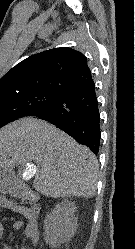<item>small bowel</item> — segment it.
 I'll list each match as a JSON object with an SVG mask.
<instances>
[{
  "label": "small bowel",
  "instance_id": "small-bowel-1",
  "mask_svg": "<svg viewBox=\"0 0 135 249\" xmlns=\"http://www.w3.org/2000/svg\"><path fill=\"white\" fill-rule=\"evenodd\" d=\"M0 209H9L21 214L24 220H18L14 224L16 230H23L25 236L30 239L33 244L38 242V209L35 206H24L13 203L5 195H0ZM0 244L4 249H11L6 240V230L0 221ZM21 249H33V247H23Z\"/></svg>",
  "mask_w": 135,
  "mask_h": 249
}]
</instances>
